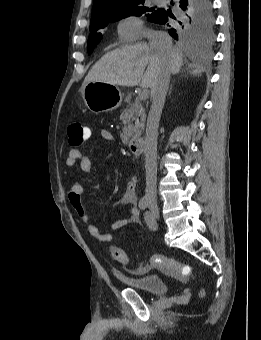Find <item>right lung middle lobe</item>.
Returning a JSON list of instances; mask_svg holds the SVG:
<instances>
[{"instance_id": "1", "label": "right lung middle lobe", "mask_w": 261, "mask_h": 340, "mask_svg": "<svg viewBox=\"0 0 261 340\" xmlns=\"http://www.w3.org/2000/svg\"><path fill=\"white\" fill-rule=\"evenodd\" d=\"M144 0L129 5L120 10L116 15L105 17L95 22H91L90 35L88 38V54H91L95 46L102 39L100 29L105 28L109 23L120 20L128 16H141L146 14L149 21L159 14L160 9L157 7H144ZM174 23L175 37L178 40L195 41L209 40L213 37L214 18L212 12L203 11L196 8H189L186 12H182Z\"/></svg>"}]
</instances>
